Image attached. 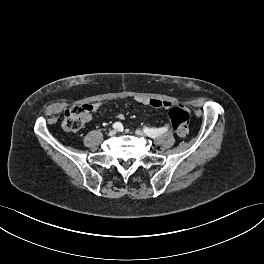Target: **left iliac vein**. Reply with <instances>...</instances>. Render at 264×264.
Returning a JSON list of instances; mask_svg holds the SVG:
<instances>
[{
  "instance_id": "1",
  "label": "left iliac vein",
  "mask_w": 264,
  "mask_h": 264,
  "mask_svg": "<svg viewBox=\"0 0 264 264\" xmlns=\"http://www.w3.org/2000/svg\"><path fill=\"white\" fill-rule=\"evenodd\" d=\"M135 134L138 135V136H140V137H146V133L143 132V131H141V130H136L135 131Z\"/></svg>"
}]
</instances>
